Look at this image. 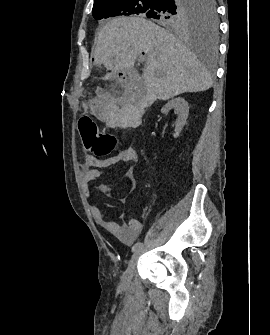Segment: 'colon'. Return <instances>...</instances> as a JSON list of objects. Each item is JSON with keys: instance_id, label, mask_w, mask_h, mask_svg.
I'll use <instances>...</instances> for the list:
<instances>
[{"instance_id": "1", "label": "colon", "mask_w": 270, "mask_h": 335, "mask_svg": "<svg viewBox=\"0 0 270 335\" xmlns=\"http://www.w3.org/2000/svg\"><path fill=\"white\" fill-rule=\"evenodd\" d=\"M81 124L84 146L90 154L97 158H104L116 152L120 146V139L112 133L99 130L91 116H78Z\"/></svg>"}]
</instances>
